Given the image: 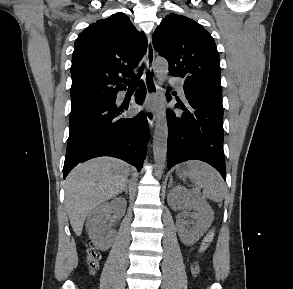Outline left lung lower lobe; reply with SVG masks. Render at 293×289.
Listing matches in <instances>:
<instances>
[{
    "label": "left lung lower lobe",
    "instance_id": "left-lung-lower-lobe-1",
    "mask_svg": "<svg viewBox=\"0 0 293 289\" xmlns=\"http://www.w3.org/2000/svg\"><path fill=\"white\" fill-rule=\"evenodd\" d=\"M187 105L178 102L182 114L167 111V166L187 160H201L220 172L226 180L223 151L222 94L183 85ZM171 99L169 92L166 93Z\"/></svg>",
    "mask_w": 293,
    "mask_h": 289
}]
</instances>
